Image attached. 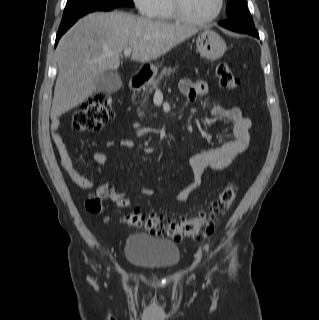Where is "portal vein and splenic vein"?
I'll return each instance as SVG.
<instances>
[{"label": "portal vein and splenic vein", "mask_w": 319, "mask_h": 320, "mask_svg": "<svg viewBox=\"0 0 319 320\" xmlns=\"http://www.w3.org/2000/svg\"><path fill=\"white\" fill-rule=\"evenodd\" d=\"M132 48H127L124 50V56L129 57L131 54Z\"/></svg>", "instance_id": "obj_1"}]
</instances>
